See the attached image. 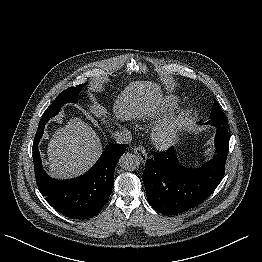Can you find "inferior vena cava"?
I'll use <instances>...</instances> for the list:
<instances>
[{"label": "inferior vena cava", "instance_id": "1", "mask_svg": "<svg viewBox=\"0 0 262 262\" xmlns=\"http://www.w3.org/2000/svg\"><path fill=\"white\" fill-rule=\"evenodd\" d=\"M114 139L119 144H128L132 140V135L129 130L122 129L114 133Z\"/></svg>", "mask_w": 262, "mask_h": 262}]
</instances>
